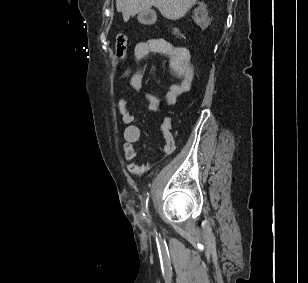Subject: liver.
<instances>
[{"label": "liver", "instance_id": "6515ba94", "mask_svg": "<svg viewBox=\"0 0 308 283\" xmlns=\"http://www.w3.org/2000/svg\"><path fill=\"white\" fill-rule=\"evenodd\" d=\"M197 0H116L117 11L122 13L127 22L131 16L156 7L167 19L182 18Z\"/></svg>", "mask_w": 308, "mask_h": 283}]
</instances>
